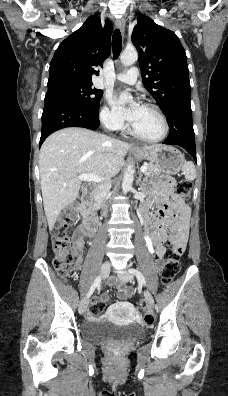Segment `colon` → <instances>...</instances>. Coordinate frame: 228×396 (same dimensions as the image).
<instances>
[{"mask_svg": "<svg viewBox=\"0 0 228 396\" xmlns=\"http://www.w3.org/2000/svg\"><path fill=\"white\" fill-rule=\"evenodd\" d=\"M168 184L176 187L177 193L185 200L189 199L191 195V184L189 181L182 179L177 182L167 178ZM74 209L65 210L59 218L55 221L52 232V250L55 255L53 260L54 268L58 275L66 280L75 268V254L71 250V241L69 235L70 226L74 220ZM183 250L178 248H170L165 257V262L162 268V281L164 284H170L180 271V258ZM104 306L101 303H95L89 310V315L92 318H98L102 315ZM146 322H151L149 315L145 316Z\"/></svg>", "mask_w": 228, "mask_h": 396, "instance_id": "obj_1", "label": "colon"}]
</instances>
